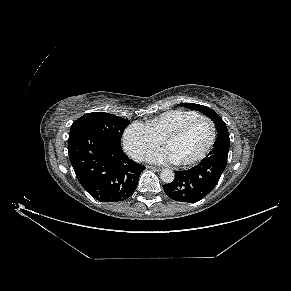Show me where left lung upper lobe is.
<instances>
[{
    "label": "left lung upper lobe",
    "mask_w": 291,
    "mask_h": 291,
    "mask_svg": "<svg viewBox=\"0 0 291 291\" xmlns=\"http://www.w3.org/2000/svg\"><path fill=\"white\" fill-rule=\"evenodd\" d=\"M179 106L200 111L204 113L206 116H208L211 120H213L217 127V132H218L216 142H219L222 140L230 141L229 133H228L225 122L219 117V115L214 110H212L209 107L199 105V104H194V103H181L179 104Z\"/></svg>",
    "instance_id": "left-lung-upper-lobe-1"
}]
</instances>
